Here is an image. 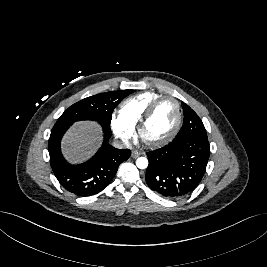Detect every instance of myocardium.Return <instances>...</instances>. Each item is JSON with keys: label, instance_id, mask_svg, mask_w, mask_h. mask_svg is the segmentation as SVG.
Segmentation results:
<instances>
[{"label": "myocardium", "instance_id": "myocardium-1", "mask_svg": "<svg viewBox=\"0 0 267 267\" xmlns=\"http://www.w3.org/2000/svg\"><path fill=\"white\" fill-rule=\"evenodd\" d=\"M164 100H171L176 105L177 120H176L175 126L172 129V131L164 138L159 139V140H155V141H147L142 136L143 129H144L145 125L147 124V122L152 117V115L155 112L158 105ZM181 124H182V108H181V104H180L179 100L173 96H170V95H161L160 97H158L154 101H152L151 104L147 107V109L143 113L142 117L140 118V120L137 124V134H138V137L148 146H152V147L162 146V145L170 142L177 135V133L180 130Z\"/></svg>", "mask_w": 267, "mask_h": 267}]
</instances>
